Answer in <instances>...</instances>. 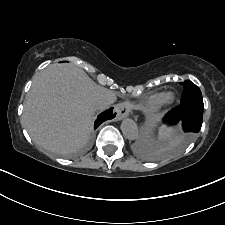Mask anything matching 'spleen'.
I'll list each match as a JSON object with an SVG mask.
<instances>
[{
    "label": "spleen",
    "mask_w": 225,
    "mask_h": 225,
    "mask_svg": "<svg viewBox=\"0 0 225 225\" xmlns=\"http://www.w3.org/2000/svg\"><path fill=\"white\" fill-rule=\"evenodd\" d=\"M173 132H174V129L162 126L159 129V138L161 140L167 139V138L171 137Z\"/></svg>",
    "instance_id": "obj_1"
}]
</instances>
